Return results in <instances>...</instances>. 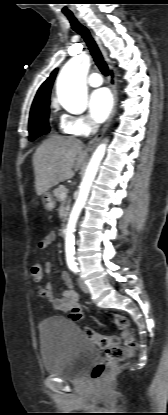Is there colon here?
<instances>
[{
    "label": "colon",
    "instance_id": "colon-1",
    "mask_svg": "<svg viewBox=\"0 0 168 415\" xmlns=\"http://www.w3.org/2000/svg\"><path fill=\"white\" fill-rule=\"evenodd\" d=\"M43 266L44 261L42 259H37L29 266L28 275L30 276V282L33 283V289L37 288L36 284H40L44 281L43 272L41 270ZM114 323L122 331L123 344L120 343V339L117 336L99 335L89 327L83 329V335L90 342L104 349L101 360L91 370V378L93 380H99L106 370L130 356L136 347L135 339L129 329V320L125 316L115 315Z\"/></svg>",
    "mask_w": 168,
    "mask_h": 415
}]
</instances>
